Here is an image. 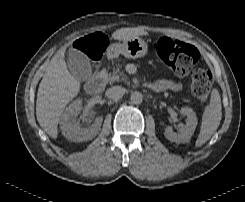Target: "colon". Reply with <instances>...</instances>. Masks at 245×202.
Listing matches in <instances>:
<instances>
[{
    "mask_svg": "<svg viewBox=\"0 0 245 202\" xmlns=\"http://www.w3.org/2000/svg\"><path fill=\"white\" fill-rule=\"evenodd\" d=\"M107 40L102 32H95L74 43L77 55L99 60L106 50ZM156 54L163 63L177 74L189 73L199 60L198 50L189 44L170 38H160L156 43ZM192 91L197 100L205 103L212 87V74L207 70H195L191 74Z\"/></svg>",
    "mask_w": 245,
    "mask_h": 202,
    "instance_id": "5ec220e1",
    "label": "colon"
}]
</instances>
